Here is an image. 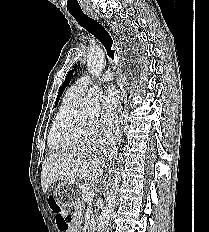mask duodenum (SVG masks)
<instances>
[{
    "instance_id": "obj_1",
    "label": "duodenum",
    "mask_w": 209,
    "mask_h": 232,
    "mask_svg": "<svg viewBox=\"0 0 209 232\" xmlns=\"http://www.w3.org/2000/svg\"><path fill=\"white\" fill-rule=\"evenodd\" d=\"M89 232H96L95 224H93V223L90 224Z\"/></svg>"
}]
</instances>
